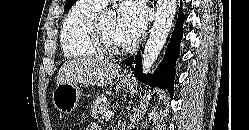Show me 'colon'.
Wrapping results in <instances>:
<instances>
[{"instance_id":"1","label":"colon","mask_w":249,"mask_h":130,"mask_svg":"<svg viewBox=\"0 0 249 130\" xmlns=\"http://www.w3.org/2000/svg\"><path fill=\"white\" fill-rule=\"evenodd\" d=\"M62 130H74V129H73V127H71V126H66V127H64Z\"/></svg>"}]
</instances>
